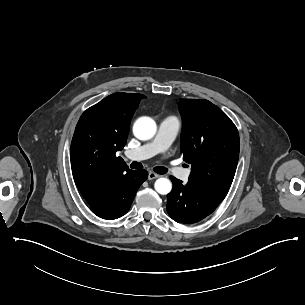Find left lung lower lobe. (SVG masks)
<instances>
[{"label": "left lung lower lobe", "mask_w": 305, "mask_h": 305, "mask_svg": "<svg viewBox=\"0 0 305 305\" xmlns=\"http://www.w3.org/2000/svg\"><path fill=\"white\" fill-rule=\"evenodd\" d=\"M172 191L167 195V212L178 223L199 222L222 202L226 194L213 192L187 184L170 176Z\"/></svg>", "instance_id": "obj_1"}]
</instances>
